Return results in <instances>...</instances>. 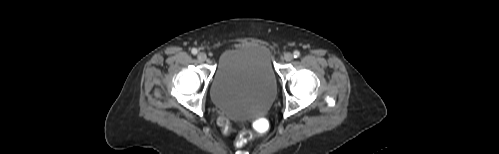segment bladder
<instances>
[{"label":"bladder","mask_w":499,"mask_h":154,"mask_svg":"<svg viewBox=\"0 0 499 154\" xmlns=\"http://www.w3.org/2000/svg\"><path fill=\"white\" fill-rule=\"evenodd\" d=\"M213 104L235 118L263 114L277 92L270 48L263 43L230 47L219 57L211 83Z\"/></svg>","instance_id":"1"}]
</instances>
